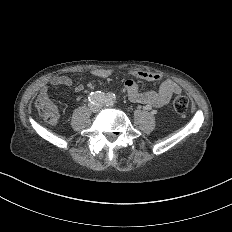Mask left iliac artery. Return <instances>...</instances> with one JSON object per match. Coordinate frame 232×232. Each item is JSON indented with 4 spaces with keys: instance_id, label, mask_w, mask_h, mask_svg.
Masks as SVG:
<instances>
[{
    "instance_id": "44dca946",
    "label": "left iliac artery",
    "mask_w": 232,
    "mask_h": 232,
    "mask_svg": "<svg viewBox=\"0 0 232 232\" xmlns=\"http://www.w3.org/2000/svg\"><path fill=\"white\" fill-rule=\"evenodd\" d=\"M116 102V97L115 94L110 93L108 96L105 98V103L107 106H113Z\"/></svg>"
}]
</instances>
